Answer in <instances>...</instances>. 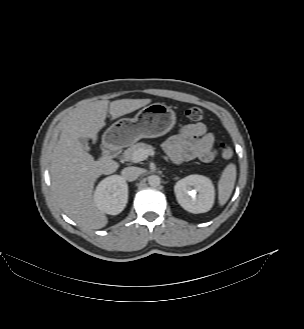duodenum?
<instances>
[{"label": "duodenum", "mask_w": 304, "mask_h": 329, "mask_svg": "<svg viewBox=\"0 0 304 329\" xmlns=\"http://www.w3.org/2000/svg\"><path fill=\"white\" fill-rule=\"evenodd\" d=\"M120 149L112 142L105 141L103 145V155L106 158H113L118 155Z\"/></svg>", "instance_id": "410a0bca"}]
</instances>
